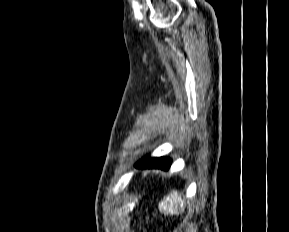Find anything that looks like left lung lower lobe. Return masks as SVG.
Here are the masks:
<instances>
[{"label": "left lung lower lobe", "mask_w": 289, "mask_h": 232, "mask_svg": "<svg viewBox=\"0 0 289 232\" xmlns=\"http://www.w3.org/2000/svg\"><path fill=\"white\" fill-rule=\"evenodd\" d=\"M171 161L169 158H150L145 157L140 162H138L135 167L139 168H158L162 170H168L170 168Z\"/></svg>", "instance_id": "1"}]
</instances>
